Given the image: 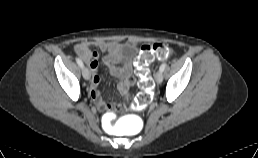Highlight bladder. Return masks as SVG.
Returning a JSON list of instances; mask_svg holds the SVG:
<instances>
[{"instance_id":"1","label":"bladder","mask_w":258,"mask_h":158,"mask_svg":"<svg viewBox=\"0 0 258 158\" xmlns=\"http://www.w3.org/2000/svg\"><path fill=\"white\" fill-rule=\"evenodd\" d=\"M135 53H136V46L129 44V45L123 46L121 51V57L123 61L130 62L134 57Z\"/></svg>"}]
</instances>
